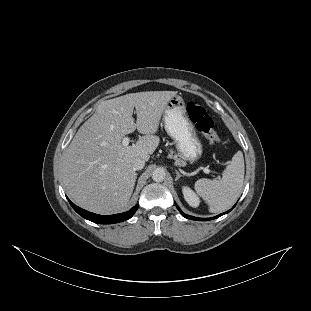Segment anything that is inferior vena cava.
Returning a JSON list of instances; mask_svg holds the SVG:
<instances>
[{"label": "inferior vena cava", "mask_w": 311, "mask_h": 311, "mask_svg": "<svg viewBox=\"0 0 311 311\" xmlns=\"http://www.w3.org/2000/svg\"><path fill=\"white\" fill-rule=\"evenodd\" d=\"M132 166L134 170H141L144 168L145 166V160H143L142 158H135L132 162Z\"/></svg>", "instance_id": "1"}]
</instances>
